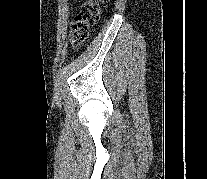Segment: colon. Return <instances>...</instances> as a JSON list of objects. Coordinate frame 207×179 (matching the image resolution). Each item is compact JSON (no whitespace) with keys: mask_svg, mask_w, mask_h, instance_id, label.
<instances>
[{"mask_svg":"<svg viewBox=\"0 0 207 179\" xmlns=\"http://www.w3.org/2000/svg\"><path fill=\"white\" fill-rule=\"evenodd\" d=\"M107 0H84L73 18L70 37L74 45H82L89 36L90 28L97 23Z\"/></svg>","mask_w":207,"mask_h":179,"instance_id":"5ec220e1","label":"colon"}]
</instances>
